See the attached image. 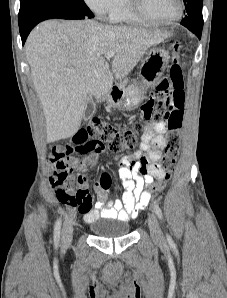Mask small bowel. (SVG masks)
Instances as JSON below:
<instances>
[{"instance_id":"small-bowel-1","label":"small bowel","mask_w":227,"mask_h":298,"mask_svg":"<svg viewBox=\"0 0 227 298\" xmlns=\"http://www.w3.org/2000/svg\"><path fill=\"white\" fill-rule=\"evenodd\" d=\"M168 75L158 78L155 82L157 92H170ZM162 95L156 98H146V103H157L162 100ZM170 103V98L164 99ZM159 111L155 104H141V115H155ZM169 115V110L163 111ZM147 126L142 135L140 150L132 156H126L118 160L119 178L122 182L123 192L120 198H113L109 190H98V201L93 205L92 195L88 183L80 177L77 185L73 184V178L69 173L72 170L83 171L95 161L94 155H101L110 146L109 142H82L81 146H52L48 157L53 169L52 185L55 191L58 189L72 188L81 193L78 203L71 205L82 215L86 223H91L99 218L118 219L131 221L149 203L151 194L144 190L153 179H158L164 174L160 165L161 152L165 149V136L168 130L166 123L152 125L151 118L147 117ZM162 122L167 118L162 117ZM76 155H85L76 161Z\"/></svg>"}]
</instances>
